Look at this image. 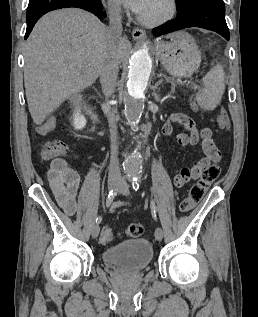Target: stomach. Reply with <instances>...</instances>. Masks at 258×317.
Wrapping results in <instances>:
<instances>
[{
  "mask_svg": "<svg viewBox=\"0 0 258 317\" xmlns=\"http://www.w3.org/2000/svg\"><path fill=\"white\" fill-rule=\"evenodd\" d=\"M155 52L169 74L177 78L191 76L201 62V52L191 34L179 30L169 40H158Z\"/></svg>",
  "mask_w": 258,
  "mask_h": 317,
  "instance_id": "obj_1",
  "label": "stomach"
}]
</instances>
